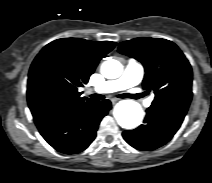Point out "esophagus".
I'll return each instance as SVG.
<instances>
[{
  "label": "esophagus",
  "mask_w": 212,
  "mask_h": 183,
  "mask_svg": "<svg viewBox=\"0 0 212 183\" xmlns=\"http://www.w3.org/2000/svg\"><path fill=\"white\" fill-rule=\"evenodd\" d=\"M119 101V99H117V98H112L111 99V102L113 103V104H115L116 102H118Z\"/></svg>",
  "instance_id": "1"
}]
</instances>
